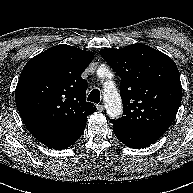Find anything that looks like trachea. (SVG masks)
<instances>
[{"label":"trachea","mask_w":193,"mask_h":193,"mask_svg":"<svg viewBox=\"0 0 193 193\" xmlns=\"http://www.w3.org/2000/svg\"><path fill=\"white\" fill-rule=\"evenodd\" d=\"M88 101L98 104L100 102V91L98 89L92 90L88 96Z\"/></svg>","instance_id":"1"}]
</instances>
